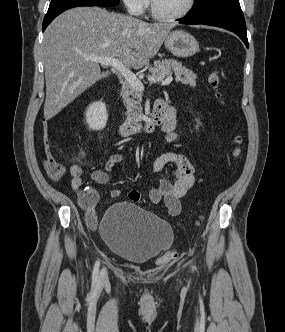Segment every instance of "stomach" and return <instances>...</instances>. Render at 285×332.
I'll list each match as a JSON object with an SVG mask.
<instances>
[{
  "label": "stomach",
  "mask_w": 285,
  "mask_h": 332,
  "mask_svg": "<svg viewBox=\"0 0 285 332\" xmlns=\"http://www.w3.org/2000/svg\"><path fill=\"white\" fill-rule=\"evenodd\" d=\"M164 44L174 56L181 58L191 57L199 50V44L195 37L185 31L170 33Z\"/></svg>",
  "instance_id": "stomach-1"
}]
</instances>
